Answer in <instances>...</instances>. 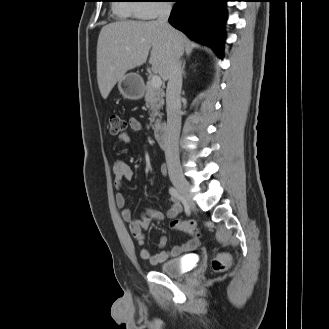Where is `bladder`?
I'll return each instance as SVG.
<instances>
[{"label":"bladder","instance_id":"1","mask_svg":"<svg viewBox=\"0 0 329 329\" xmlns=\"http://www.w3.org/2000/svg\"><path fill=\"white\" fill-rule=\"evenodd\" d=\"M186 257L169 258L159 264L158 272L168 276H180L185 273Z\"/></svg>","mask_w":329,"mask_h":329}]
</instances>
